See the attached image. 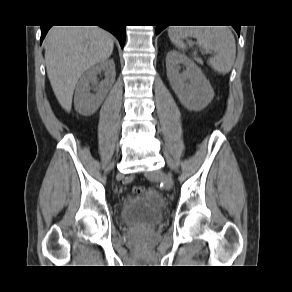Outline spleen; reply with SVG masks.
Listing matches in <instances>:
<instances>
[{
    "instance_id": "spleen-1",
    "label": "spleen",
    "mask_w": 292,
    "mask_h": 292,
    "mask_svg": "<svg viewBox=\"0 0 292 292\" xmlns=\"http://www.w3.org/2000/svg\"><path fill=\"white\" fill-rule=\"evenodd\" d=\"M168 36L176 48L185 51L187 37L197 40L198 47L214 52L208 64L219 74H227L232 69L236 57V43L232 32L223 27H177L168 29Z\"/></svg>"
}]
</instances>
